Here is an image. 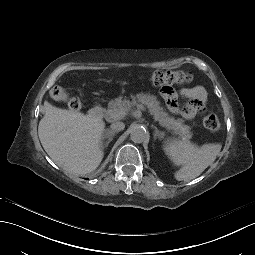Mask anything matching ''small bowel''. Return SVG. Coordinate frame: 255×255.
I'll use <instances>...</instances> for the list:
<instances>
[{
	"instance_id": "obj_1",
	"label": "small bowel",
	"mask_w": 255,
	"mask_h": 255,
	"mask_svg": "<svg viewBox=\"0 0 255 255\" xmlns=\"http://www.w3.org/2000/svg\"><path fill=\"white\" fill-rule=\"evenodd\" d=\"M163 93L166 95L171 94L170 90H163ZM180 93L182 96L188 98L189 102L182 110L179 111L177 107H174L173 111L180 112L186 119L194 118L204 108L207 100L206 90L201 86H196L183 88Z\"/></svg>"
}]
</instances>
